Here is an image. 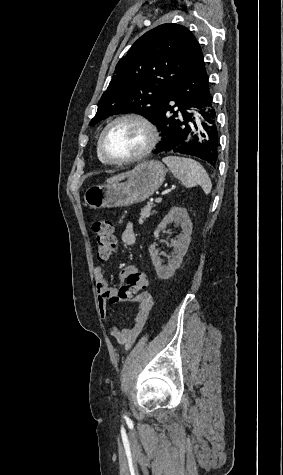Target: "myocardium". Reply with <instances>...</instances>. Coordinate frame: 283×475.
Here are the masks:
<instances>
[{
    "label": "myocardium",
    "instance_id": "obj_1",
    "mask_svg": "<svg viewBox=\"0 0 283 475\" xmlns=\"http://www.w3.org/2000/svg\"><path fill=\"white\" fill-rule=\"evenodd\" d=\"M123 120H134L143 124L149 132V138L144 148L137 154L129 156V157H124V158H111L105 153V150H104V146H103L104 136L114 124ZM157 140H158V131L155 124L150 118L138 113H125V114L115 117L114 119H112L110 122L106 124V126L102 129L99 135L97 144H98L99 153L106 162H131V164H134L145 159L153 151V149L156 146Z\"/></svg>",
    "mask_w": 283,
    "mask_h": 475
}]
</instances>
